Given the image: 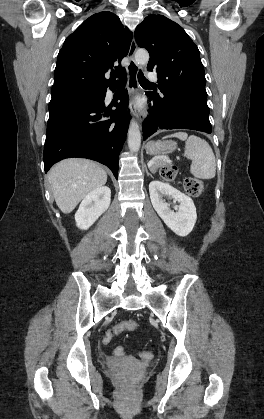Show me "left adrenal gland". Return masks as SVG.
Returning <instances> with one entry per match:
<instances>
[{
  "mask_svg": "<svg viewBox=\"0 0 264 419\" xmlns=\"http://www.w3.org/2000/svg\"><path fill=\"white\" fill-rule=\"evenodd\" d=\"M146 173L148 176L150 175L152 177V175L148 172L147 168H146Z\"/></svg>",
  "mask_w": 264,
  "mask_h": 419,
  "instance_id": "a2214340",
  "label": "left adrenal gland"
}]
</instances>
